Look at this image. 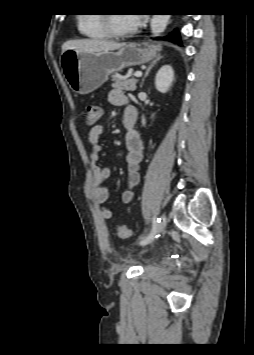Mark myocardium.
Here are the masks:
<instances>
[{"instance_id":"obj_1","label":"myocardium","mask_w":254,"mask_h":355,"mask_svg":"<svg viewBox=\"0 0 254 355\" xmlns=\"http://www.w3.org/2000/svg\"><path fill=\"white\" fill-rule=\"evenodd\" d=\"M102 24H103V28H104L106 34L112 38L129 37V36L135 34L137 31L136 28L129 29V30H123V31L116 30L112 24V14L111 13H103L102 14Z\"/></svg>"}]
</instances>
